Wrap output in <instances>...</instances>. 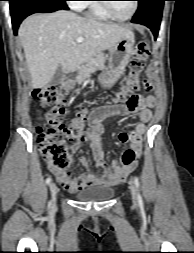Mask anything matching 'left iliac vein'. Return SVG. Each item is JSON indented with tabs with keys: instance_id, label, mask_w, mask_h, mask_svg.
Returning <instances> with one entry per match:
<instances>
[{
	"instance_id": "4c4485c4",
	"label": "left iliac vein",
	"mask_w": 194,
	"mask_h": 253,
	"mask_svg": "<svg viewBox=\"0 0 194 253\" xmlns=\"http://www.w3.org/2000/svg\"><path fill=\"white\" fill-rule=\"evenodd\" d=\"M131 196L134 203H136V188L133 184L130 186Z\"/></svg>"
}]
</instances>
